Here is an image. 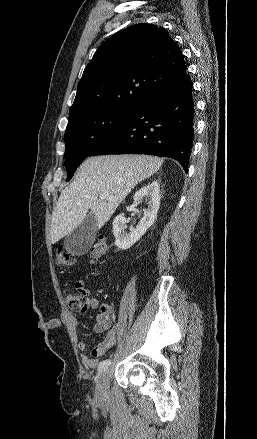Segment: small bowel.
Here are the masks:
<instances>
[{
    "mask_svg": "<svg viewBox=\"0 0 257 439\" xmlns=\"http://www.w3.org/2000/svg\"><path fill=\"white\" fill-rule=\"evenodd\" d=\"M76 285L82 286V283L78 282ZM88 309H98L99 311L93 325V331L96 333H106L104 339L95 345L89 353H86V343L84 341L78 342L82 363L85 367L93 369L100 364V357L116 343L117 327L111 321L112 306L109 303H100L97 298L90 297L84 304L83 312ZM69 319L74 326L78 325V321L74 316H69Z\"/></svg>",
    "mask_w": 257,
    "mask_h": 439,
    "instance_id": "c3829d8e",
    "label": "small bowel"
}]
</instances>
